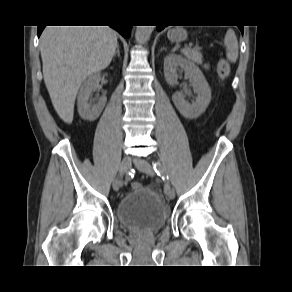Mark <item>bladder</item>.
I'll return each instance as SVG.
<instances>
[{
    "label": "bladder",
    "instance_id": "1",
    "mask_svg": "<svg viewBox=\"0 0 292 292\" xmlns=\"http://www.w3.org/2000/svg\"><path fill=\"white\" fill-rule=\"evenodd\" d=\"M116 211L120 225L137 233H155L169 217V208L154 187L129 191L119 200Z\"/></svg>",
    "mask_w": 292,
    "mask_h": 292
}]
</instances>
